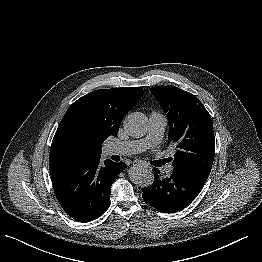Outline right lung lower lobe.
Returning a JSON list of instances; mask_svg holds the SVG:
<instances>
[{"label": "right lung lower lobe", "mask_w": 262, "mask_h": 262, "mask_svg": "<svg viewBox=\"0 0 262 262\" xmlns=\"http://www.w3.org/2000/svg\"><path fill=\"white\" fill-rule=\"evenodd\" d=\"M126 168L124 162L100 157L50 165L55 195L65 212L79 222L93 221L110 206L111 185Z\"/></svg>", "instance_id": "right-lung-lower-lobe-1"}]
</instances>
